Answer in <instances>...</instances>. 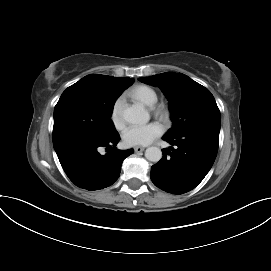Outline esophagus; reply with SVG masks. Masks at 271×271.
<instances>
[{"label": "esophagus", "mask_w": 271, "mask_h": 271, "mask_svg": "<svg viewBox=\"0 0 271 271\" xmlns=\"http://www.w3.org/2000/svg\"><path fill=\"white\" fill-rule=\"evenodd\" d=\"M144 150H145V147H141V146H136V147H134V151H135L136 153L142 152V151H144Z\"/></svg>", "instance_id": "obj_1"}]
</instances>
